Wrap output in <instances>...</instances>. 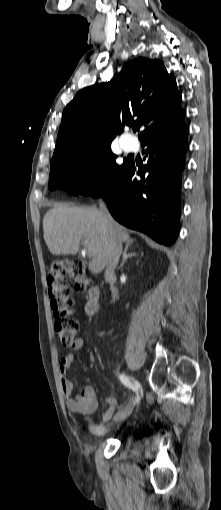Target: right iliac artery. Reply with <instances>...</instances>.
I'll use <instances>...</instances> for the list:
<instances>
[{"label":"right iliac artery","instance_id":"right-iliac-artery-1","mask_svg":"<svg viewBox=\"0 0 221 510\" xmlns=\"http://www.w3.org/2000/svg\"><path fill=\"white\" fill-rule=\"evenodd\" d=\"M119 378H120V381L128 388L132 389L133 391H135L137 393V396H138V392L140 391L142 393V390H141V386L140 384L137 382V381H131L126 375L124 374H121L119 375ZM139 401V396L137 397V402Z\"/></svg>","mask_w":221,"mask_h":510}]
</instances>
